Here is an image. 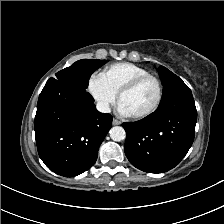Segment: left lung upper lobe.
Returning a JSON list of instances; mask_svg holds the SVG:
<instances>
[{"label":"left lung upper lobe","mask_w":224,"mask_h":224,"mask_svg":"<svg viewBox=\"0 0 224 224\" xmlns=\"http://www.w3.org/2000/svg\"><path fill=\"white\" fill-rule=\"evenodd\" d=\"M158 73L163 84V95L161 102H165L173 98L180 92L190 90L178 76L169 71L167 68L160 66L158 68Z\"/></svg>","instance_id":"obj_1"}]
</instances>
